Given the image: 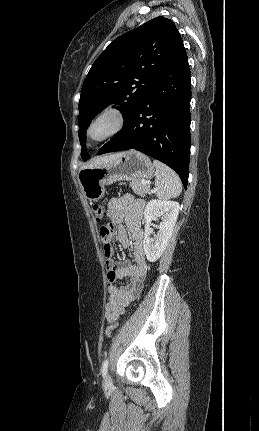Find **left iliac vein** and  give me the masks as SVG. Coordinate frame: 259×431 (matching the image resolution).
<instances>
[{
	"label": "left iliac vein",
	"instance_id": "obj_1",
	"mask_svg": "<svg viewBox=\"0 0 259 431\" xmlns=\"http://www.w3.org/2000/svg\"><path fill=\"white\" fill-rule=\"evenodd\" d=\"M110 382H111V377H110V375H109V374H107V375L105 376V379H104V384H105V385H109V384H110Z\"/></svg>",
	"mask_w": 259,
	"mask_h": 431
}]
</instances>
